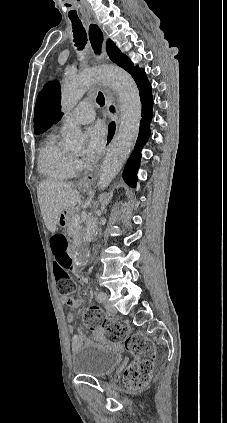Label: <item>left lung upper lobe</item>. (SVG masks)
Masks as SVG:
<instances>
[{
    "label": "left lung upper lobe",
    "instance_id": "5c2ea615",
    "mask_svg": "<svg viewBox=\"0 0 227 423\" xmlns=\"http://www.w3.org/2000/svg\"><path fill=\"white\" fill-rule=\"evenodd\" d=\"M107 52L113 62L124 68L131 74L135 82L139 81L144 70L139 69L131 60L114 45L111 40L107 42ZM60 86L58 82H53L44 86L36 100L34 114V131L40 134L46 131L52 124L58 122L61 118L60 112Z\"/></svg>",
    "mask_w": 227,
    "mask_h": 423
}]
</instances>
